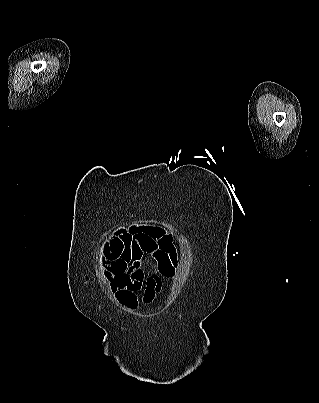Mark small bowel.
I'll return each mask as SVG.
<instances>
[{
	"label": "small bowel",
	"instance_id": "1",
	"mask_svg": "<svg viewBox=\"0 0 319 403\" xmlns=\"http://www.w3.org/2000/svg\"><path fill=\"white\" fill-rule=\"evenodd\" d=\"M100 270L113 288V298L127 312L141 307L137 293L144 290L143 301L151 302L161 288L158 275L146 278L142 258L150 257L160 276L170 277L182 263L172 237L156 228L116 225L101 241Z\"/></svg>",
	"mask_w": 319,
	"mask_h": 403
}]
</instances>
